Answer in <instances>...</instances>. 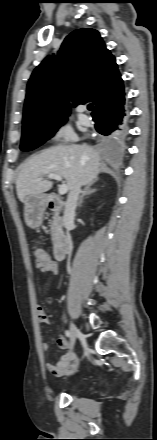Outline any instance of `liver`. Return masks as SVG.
Returning <instances> with one entry per match:
<instances>
[{"mask_svg": "<svg viewBox=\"0 0 157 440\" xmlns=\"http://www.w3.org/2000/svg\"><path fill=\"white\" fill-rule=\"evenodd\" d=\"M100 151L87 144L57 145L27 159L20 167L16 179L18 199L42 195L49 191L53 182L43 179L48 174L65 178L68 189L94 183L100 172ZM42 178L40 181H37Z\"/></svg>", "mask_w": 157, "mask_h": 440, "instance_id": "6515ba94", "label": "liver"}]
</instances>
